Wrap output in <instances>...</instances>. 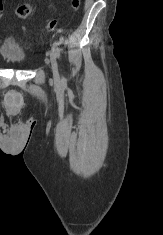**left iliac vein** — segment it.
Instances as JSON below:
<instances>
[{"label":"left iliac vein","mask_w":163,"mask_h":235,"mask_svg":"<svg viewBox=\"0 0 163 235\" xmlns=\"http://www.w3.org/2000/svg\"><path fill=\"white\" fill-rule=\"evenodd\" d=\"M50 61H51V67H52L54 80L55 82L59 83L60 82L59 67H58V62L56 59V54L53 49L50 53Z\"/></svg>","instance_id":"obj_1"}]
</instances>
